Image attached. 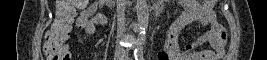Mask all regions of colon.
<instances>
[{"instance_id":"colon-1","label":"colon","mask_w":267,"mask_h":60,"mask_svg":"<svg viewBox=\"0 0 267 60\" xmlns=\"http://www.w3.org/2000/svg\"><path fill=\"white\" fill-rule=\"evenodd\" d=\"M86 0H59L56 5V14L50 29L46 33L44 43V53L49 60H70L71 55L65 46L74 18L76 14V5H86ZM76 25H78L76 21ZM79 26L85 27L84 22Z\"/></svg>"}]
</instances>
